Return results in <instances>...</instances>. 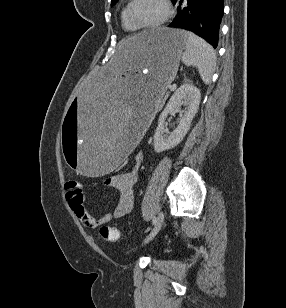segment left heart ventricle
<instances>
[{
	"label": "left heart ventricle",
	"instance_id": "b2bd125f",
	"mask_svg": "<svg viewBox=\"0 0 286 308\" xmlns=\"http://www.w3.org/2000/svg\"><path fill=\"white\" fill-rule=\"evenodd\" d=\"M165 14L161 0H137L133 8L135 20L140 24H152Z\"/></svg>",
	"mask_w": 286,
	"mask_h": 308
}]
</instances>
